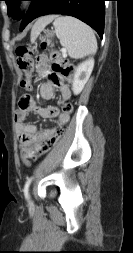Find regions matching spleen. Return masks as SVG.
<instances>
[{
    "label": "spleen",
    "mask_w": 133,
    "mask_h": 253,
    "mask_svg": "<svg viewBox=\"0 0 133 253\" xmlns=\"http://www.w3.org/2000/svg\"><path fill=\"white\" fill-rule=\"evenodd\" d=\"M54 26L60 44L71 58L79 59L96 52V37L87 24L71 16H62L55 19Z\"/></svg>",
    "instance_id": "3e777b00"
}]
</instances>
